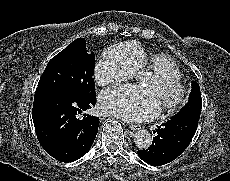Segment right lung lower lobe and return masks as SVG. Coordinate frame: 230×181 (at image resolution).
<instances>
[{
    "label": "right lung lower lobe",
    "instance_id": "obj_1",
    "mask_svg": "<svg viewBox=\"0 0 230 181\" xmlns=\"http://www.w3.org/2000/svg\"><path fill=\"white\" fill-rule=\"evenodd\" d=\"M96 103L70 93H42L34 96L33 123L40 145L53 158L73 162L91 148L99 127V118L84 114Z\"/></svg>",
    "mask_w": 230,
    "mask_h": 181
}]
</instances>
